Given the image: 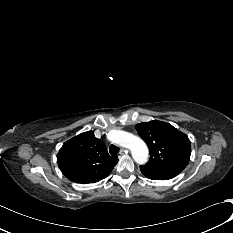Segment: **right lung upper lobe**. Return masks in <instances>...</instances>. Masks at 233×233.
I'll list each match as a JSON object with an SVG mask.
<instances>
[{
  "mask_svg": "<svg viewBox=\"0 0 233 233\" xmlns=\"http://www.w3.org/2000/svg\"><path fill=\"white\" fill-rule=\"evenodd\" d=\"M62 173L71 181L95 183L107 177L118 162L93 131L81 133L65 142L57 154Z\"/></svg>",
  "mask_w": 233,
  "mask_h": 233,
  "instance_id": "1",
  "label": "right lung upper lobe"
}]
</instances>
